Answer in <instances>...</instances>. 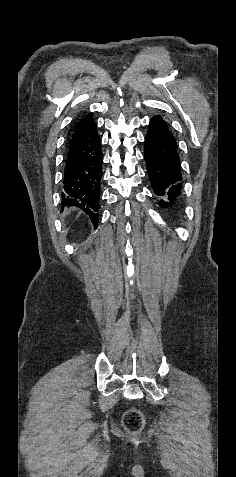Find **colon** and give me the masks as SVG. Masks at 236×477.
I'll return each mask as SVG.
<instances>
[{
    "label": "colon",
    "instance_id": "5ec220e1",
    "mask_svg": "<svg viewBox=\"0 0 236 477\" xmlns=\"http://www.w3.org/2000/svg\"><path fill=\"white\" fill-rule=\"evenodd\" d=\"M144 425L142 414L134 409L127 411L123 417V426L130 433L139 432Z\"/></svg>",
    "mask_w": 236,
    "mask_h": 477
}]
</instances>
